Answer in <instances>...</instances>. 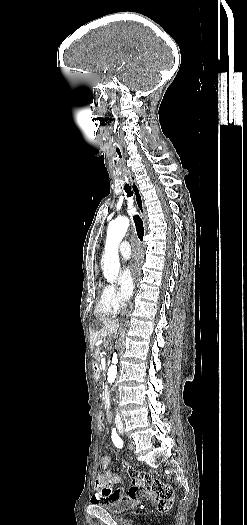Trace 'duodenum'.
I'll use <instances>...</instances> for the list:
<instances>
[{"mask_svg":"<svg viewBox=\"0 0 247 525\" xmlns=\"http://www.w3.org/2000/svg\"><path fill=\"white\" fill-rule=\"evenodd\" d=\"M93 371H94V375L96 377H98L99 374H100V367H99V365L97 363H94ZM103 398L106 401V404L108 406H110V395H109V392L107 390L103 391Z\"/></svg>","mask_w":247,"mask_h":525,"instance_id":"duodenum-1","label":"duodenum"}]
</instances>
